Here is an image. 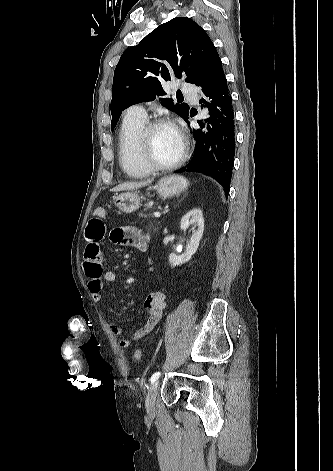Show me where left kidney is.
Here are the masks:
<instances>
[{
  "instance_id": "5707ae66",
  "label": "left kidney",
  "mask_w": 333,
  "mask_h": 471,
  "mask_svg": "<svg viewBox=\"0 0 333 471\" xmlns=\"http://www.w3.org/2000/svg\"><path fill=\"white\" fill-rule=\"evenodd\" d=\"M190 225H193L190 244L182 255L178 256L174 253L169 255V263L172 267L188 262L199 247V242L204 232V218L200 208L192 209L182 217L180 223L181 230H186Z\"/></svg>"
}]
</instances>
